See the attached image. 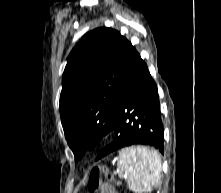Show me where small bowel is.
I'll list each match as a JSON object with an SVG mask.
<instances>
[{
  "mask_svg": "<svg viewBox=\"0 0 221 193\" xmlns=\"http://www.w3.org/2000/svg\"><path fill=\"white\" fill-rule=\"evenodd\" d=\"M100 193H116L113 187L109 184H103Z\"/></svg>",
  "mask_w": 221,
  "mask_h": 193,
  "instance_id": "1",
  "label": "small bowel"
}]
</instances>
